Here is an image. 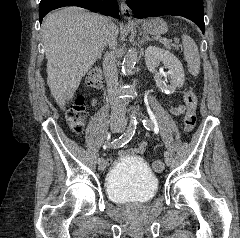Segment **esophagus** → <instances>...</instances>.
I'll return each instance as SVG.
<instances>
[{"label":"esophagus","mask_w":240,"mask_h":238,"mask_svg":"<svg viewBox=\"0 0 240 238\" xmlns=\"http://www.w3.org/2000/svg\"><path fill=\"white\" fill-rule=\"evenodd\" d=\"M120 10L124 19L131 20L133 18L131 9L124 1L120 4Z\"/></svg>","instance_id":"obj_1"}]
</instances>
